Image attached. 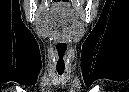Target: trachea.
Here are the masks:
<instances>
[{
    "instance_id": "obj_1",
    "label": "trachea",
    "mask_w": 129,
    "mask_h": 92,
    "mask_svg": "<svg viewBox=\"0 0 129 92\" xmlns=\"http://www.w3.org/2000/svg\"><path fill=\"white\" fill-rule=\"evenodd\" d=\"M59 75H62L64 73V71H57Z\"/></svg>"
}]
</instances>
